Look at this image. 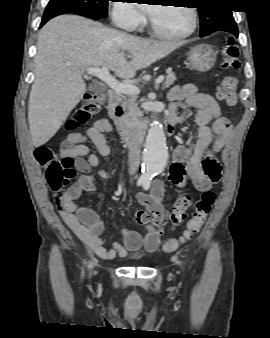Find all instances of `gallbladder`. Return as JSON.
I'll use <instances>...</instances> for the list:
<instances>
[{"label":"gallbladder","mask_w":270,"mask_h":338,"mask_svg":"<svg viewBox=\"0 0 270 338\" xmlns=\"http://www.w3.org/2000/svg\"><path fill=\"white\" fill-rule=\"evenodd\" d=\"M89 90L92 91V92H100V91H103L104 88L96 83L94 84H91L89 86Z\"/></svg>","instance_id":"bac80fb5"}]
</instances>
